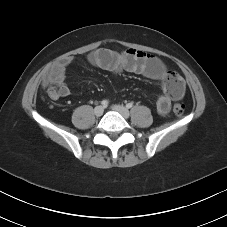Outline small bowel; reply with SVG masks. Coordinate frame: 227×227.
Wrapping results in <instances>:
<instances>
[{
  "mask_svg": "<svg viewBox=\"0 0 227 227\" xmlns=\"http://www.w3.org/2000/svg\"><path fill=\"white\" fill-rule=\"evenodd\" d=\"M88 61L95 67L111 72L128 71L141 74L153 80L162 81V91L156 102L159 115L169 112L171 102L182 98L184 83L181 77L169 76L165 64L156 56L135 49L117 51L108 48H99L88 55ZM71 60L66 59L52 66L44 75V83L52 85V99L67 97L70 88L65 83V70Z\"/></svg>",
  "mask_w": 227,
  "mask_h": 227,
  "instance_id": "c3829d8e",
  "label": "small bowel"
}]
</instances>
